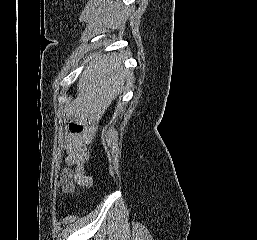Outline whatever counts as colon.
<instances>
[{"mask_svg": "<svg viewBox=\"0 0 257 240\" xmlns=\"http://www.w3.org/2000/svg\"><path fill=\"white\" fill-rule=\"evenodd\" d=\"M69 128L74 133H82L84 131V127L77 122H71Z\"/></svg>", "mask_w": 257, "mask_h": 240, "instance_id": "1", "label": "colon"}]
</instances>
